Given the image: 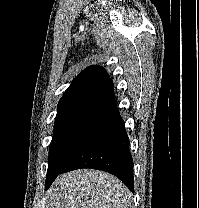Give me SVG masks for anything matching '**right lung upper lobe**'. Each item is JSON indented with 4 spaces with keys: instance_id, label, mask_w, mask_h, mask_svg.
<instances>
[{
    "instance_id": "cb5924a9",
    "label": "right lung upper lobe",
    "mask_w": 199,
    "mask_h": 208,
    "mask_svg": "<svg viewBox=\"0 0 199 208\" xmlns=\"http://www.w3.org/2000/svg\"><path fill=\"white\" fill-rule=\"evenodd\" d=\"M113 82L100 66H89L72 81L57 106V115L77 109L103 108L115 100Z\"/></svg>"
}]
</instances>
